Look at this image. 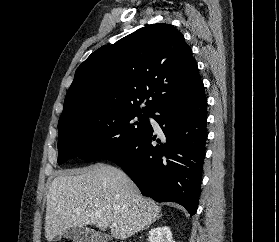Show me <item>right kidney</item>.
<instances>
[{"mask_svg": "<svg viewBox=\"0 0 279 242\" xmlns=\"http://www.w3.org/2000/svg\"><path fill=\"white\" fill-rule=\"evenodd\" d=\"M149 242H175L172 239V233L167 226L155 227L149 231Z\"/></svg>", "mask_w": 279, "mask_h": 242, "instance_id": "right-kidney-1", "label": "right kidney"}]
</instances>
